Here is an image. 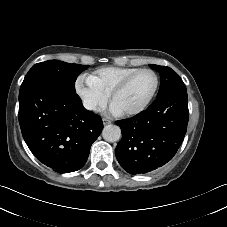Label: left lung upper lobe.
Segmentation results:
<instances>
[{
  "label": "left lung upper lobe",
  "instance_id": "left-lung-upper-lobe-1",
  "mask_svg": "<svg viewBox=\"0 0 227 227\" xmlns=\"http://www.w3.org/2000/svg\"><path fill=\"white\" fill-rule=\"evenodd\" d=\"M149 66L158 71L161 77L157 97L172 91H187L182 79L171 68L153 64H150Z\"/></svg>",
  "mask_w": 227,
  "mask_h": 227
}]
</instances>
